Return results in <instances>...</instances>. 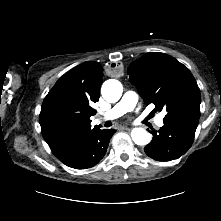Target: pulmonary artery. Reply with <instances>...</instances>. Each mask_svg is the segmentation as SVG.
Returning <instances> with one entry per match:
<instances>
[{"mask_svg":"<svg viewBox=\"0 0 221 221\" xmlns=\"http://www.w3.org/2000/svg\"><path fill=\"white\" fill-rule=\"evenodd\" d=\"M138 102V95L133 91H127L121 100L108 111L102 114L103 120H113L125 113L132 111ZM163 115H158L155 122L158 126H163Z\"/></svg>","mask_w":221,"mask_h":221,"instance_id":"1","label":"pulmonary artery"}]
</instances>
